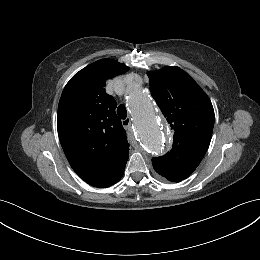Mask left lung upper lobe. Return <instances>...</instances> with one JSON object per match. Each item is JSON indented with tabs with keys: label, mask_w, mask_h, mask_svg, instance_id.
Returning a JSON list of instances; mask_svg holds the SVG:
<instances>
[{
	"label": "left lung upper lobe",
	"mask_w": 260,
	"mask_h": 260,
	"mask_svg": "<svg viewBox=\"0 0 260 260\" xmlns=\"http://www.w3.org/2000/svg\"><path fill=\"white\" fill-rule=\"evenodd\" d=\"M151 95L174 131L173 146L152 159L154 170L167 180H184L208 150L214 126L212 103L181 68L166 66L149 71Z\"/></svg>",
	"instance_id": "1"
}]
</instances>
